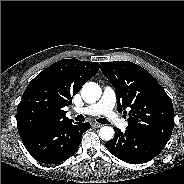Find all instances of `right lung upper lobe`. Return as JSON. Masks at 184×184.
Wrapping results in <instances>:
<instances>
[{"instance_id": "cb5924a9", "label": "right lung upper lobe", "mask_w": 184, "mask_h": 184, "mask_svg": "<svg viewBox=\"0 0 184 184\" xmlns=\"http://www.w3.org/2000/svg\"><path fill=\"white\" fill-rule=\"evenodd\" d=\"M100 64L63 59L40 72L25 89L17 108V127L21 138L40 130L61 126L72 119L63 108L99 71Z\"/></svg>"}]
</instances>
